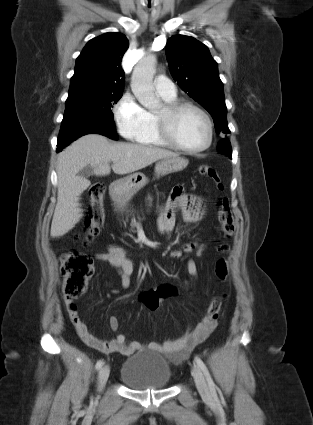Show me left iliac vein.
<instances>
[{
	"instance_id": "left-iliac-vein-1",
	"label": "left iliac vein",
	"mask_w": 313,
	"mask_h": 425,
	"mask_svg": "<svg viewBox=\"0 0 313 425\" xmlns=\"http://www.w3.org/2000/svg\"><path fill=\"white\" fill-rule=\"evenodd\" d=\"M192 376L194 378L196 387H197L199 393L201 394V396L209 399L211 397V394L209 392L206 380H205L204 375L202 374L201 370L196 365H193V367H192Z\"/></svg>"
}]
</instances>
